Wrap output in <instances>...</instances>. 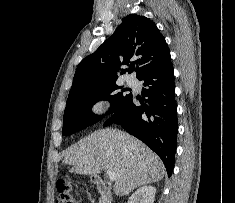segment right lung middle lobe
<instances>
[{"label":"right lung middle lobe","instance_id":"dd1d6c3e","mask_svg":"<svg viewBox=\"0 0 235 203\" xmlns=\"http://www.w3.org/2000/svg\"><path fill=\"white\" fill-rule=\"evenodd\" d=\"M121 87L116 80L87 86L69 94L63 118V135H71L102 119L92 113L91 107L97 101L109 100L111 108L107 114L115 112L131 96L118 91ZM126 91V89H123Z\"/></svg>","mask_w":235,"mask_h":203}]
</instances>
